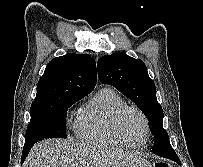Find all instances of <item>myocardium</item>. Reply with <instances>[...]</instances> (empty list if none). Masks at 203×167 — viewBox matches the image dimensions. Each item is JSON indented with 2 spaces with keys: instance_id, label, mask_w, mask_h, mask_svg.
Returning <instances> with one entry per match:
<instances>
[{
  "instance_id": "obj_1",
  "label": "myocardium",
  "mask_w": 203,
  "mask_h": 167,
  "mask_svg": "<svg viewBox=\"0 0 203 167\" xmlns=\"http://www.w3.org/2000/svg\"><path fill=\"white\" fill-rule=\"evenodd\" d=\"M130 110L137 112L139 114V116L142 118L143 123H144L145 137H144V140L139 144H134V143H131L129 140H127V138L123 135V133L121 132V129H120L119 124H120V120H121L122 116L127 111H130ZM111 125H112V129H113L114 133L116 134V136L130 147H133V148L143 147L147 143V141L149 139V135H150L149 119L146 116V114L143 112V110L141 108H139L138 106H136V105L125 104L122 107H120L117 110V112L115 113V115H114V117L112 119Z\"/></svg>"
}]
</instances>
